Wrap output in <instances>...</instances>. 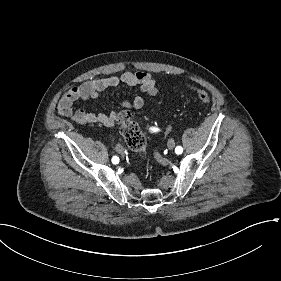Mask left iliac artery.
Returning <instances> with one entry per match:
<instances>
[{"label": "left iliac artery", "mask_w": 281, "mask_h": 281, "mask_svg": "<svg viewBox=\"0 0 281 281\" xmlns=\"http://www.w3.org/2000/svg\"><path fill=\"white\" fill-rule=\"evenodd\" d=\"M175 152H176L177 154H181V153L183 152V148H182L181 146H177V147L175 148Z\"/></svg>", "instance_id": "1"}]
</instances>
